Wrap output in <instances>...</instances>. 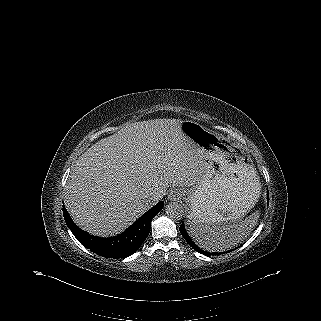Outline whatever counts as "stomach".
Segmentation results:
<instances>
[{"instance_id": "0dacf381", "label": "stomach", "mask_w": 321, "mask_h": 321, "mask_svg": "<svg viewBox=\"0 0 321 321\" xmlns=\"http://www.w3.org/2000/svg\"><path fill=\"white\" fill-rule=\"evenodd\" d=\"M180 129L202 151L205 163L200 181L184 192L188 222L229 224L241 220L256 204L261 188L250 157L197 122L182 121Z\"/></svg>"}]
</instances>
